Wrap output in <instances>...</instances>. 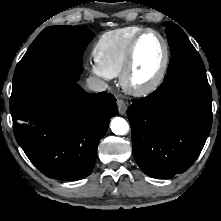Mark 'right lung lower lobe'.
Wrapping results in <instances>:
<instances>
[{
    "label": "right lung lower lobe",
    "instance_id": "1",
    "mask_svg": "<svg viewBox=\"0 0 221 221\" xmlns=\"http://www.w3.org/2000/svg\"><path fill=\"white\" fill-rule=\"evenodd\" d=\"M80 73L66 71L60 84L11 111L18 144L46 176L65 181L87 177L97 146L118 115L116 99L107 92L89 94L76 84Z\"/></svg>",
    "mask_w": 221,
    "mask_h": 221
}]
</instances>
